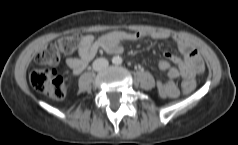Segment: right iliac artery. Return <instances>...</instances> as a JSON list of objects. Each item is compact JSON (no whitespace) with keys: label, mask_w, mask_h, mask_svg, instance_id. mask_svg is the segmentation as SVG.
Listing matches in <instances>:
<instances>
[{"label":"right iliac artery","mask_w":238,"mask_h":145,"mask_svg":"<svg viewBox=\"0 0 238 145\" xmlns=\"http://www.w3.org/2000/svg\"><path fill=\"white\" fill-rule=\"evenodd\" d=\"M112 62H114V63H115V62H116V59H115V58H113V59H112Z\"/></svg>","instance_id":"82829eb1"}]
</instances>
